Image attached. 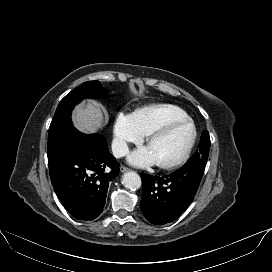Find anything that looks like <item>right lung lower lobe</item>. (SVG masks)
I'll list each match as a JSON object with an SVG mask.
<instances>
[{
	"mask_svg": "<svg viewBox=\"0 0 272 272\" xmlns=\"http://www.w3.org/2000/svg\"><path fill=\"white\" fill-rule=\"evenodd\" d=\"M54 190L70 214L93 220L103 210L109 182L119 174L101 134L85 135L74 128L67 140L48 155Z\"/></svg>",
	"mask_w": 272,
	"mask_h": 272,
	"instance_id": "obj_1",
	"label": "right lung lower lobe"
}]
</instances>
